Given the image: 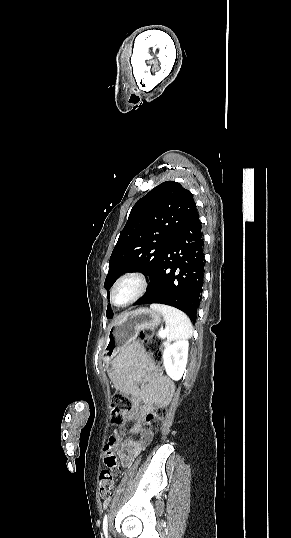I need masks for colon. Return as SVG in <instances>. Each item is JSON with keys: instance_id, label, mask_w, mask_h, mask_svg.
<instances>
[{"instance_id": "colon-1", "label": "colon", "mask_w": 291, "mask_h": 538, "mask_svg": "<svg viewBox=\"0 0 291 538\" xmlns=\"http://www.w3.org/2000/svg\"><path fill=\"white\" fill-rule=\"evenodd\" d=\"M140 342L145 351L151 356V358L159 362L162 358L163 349L162 346L154 335L153 331L149 329L142 330L139 334ZM132 399L120 392L113 394L111 398V415L114 424H120L123 422L125 416L132 408ZM167 416V408L164 406H157L154 411L147 416V422L152 431H159L164 423V419ZM104 463L110 469L117 464L116 456L110 445L105 446ZM116 489V481L110 470H103L99 477V493L102 497H111Z\"/></svg>"}]
</instances>
